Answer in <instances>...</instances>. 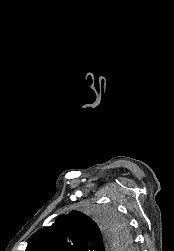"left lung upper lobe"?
I'll return each mask as SVG.
<instances>
[{
    "mask_svg": "<svg viewBox=\"0 0 174 251\" xmlns=\"http://www.w3.org/2000/svg\"><path fill=\"white\" fill-rule=\"evenodd\" d=\"M130 245L129 228L115 214L96 212L90 218L71 211L34 233L25 251H120Z\"/></svg>",
    "mask_w": 174,
    "mask_h": 251,
    "instance_id": "1",
    "label": "left lung upper lobe"
}]
</instances>
